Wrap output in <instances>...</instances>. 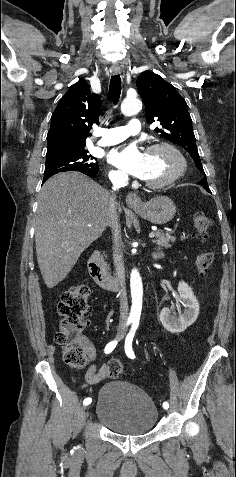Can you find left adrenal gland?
Wrapping results in <instances>:
<instances>
[{
	"label": "left adrenal gland",
	"mask_w": 236,
	"mask_h": 477,
	"mask_svg": "<svg viewBox=\"0 0 236 477\" xmlns=\"http://www.w3.org/2000/svg\"><path fill=\"white\" fill-rule=\"evenodd\" d=\"M153 257H154L155 259L162 258V257H163V254H162V253H153Z\"/></svg>",
	"instance_id": "1"
}]
</instances>
